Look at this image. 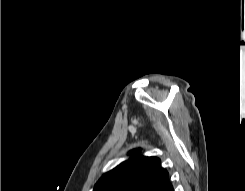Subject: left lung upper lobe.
Listing matches in <instances>:
<instances>
[{
    "instance_id": "obj_1",
    "label": "left lung upper lobe",
    "mask_w": 245,
    "mask_h": 191,
    "mask_svg": "<svg viewBox=\"0 0 245 191\" xmlns=\"http://www.w3.org/2000/svg\"><path fill=\"white\" fill-rule=\"evenodd\" d=\"M140 148L130 150V157L106 172L93 191H160L170 176L156 157H146Z\"/></svg>"
}]
</instances>
